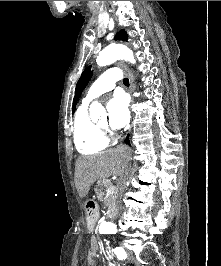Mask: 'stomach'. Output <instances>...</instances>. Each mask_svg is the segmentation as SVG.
<instances>
[{
    "instance_id": "obj_1",
    "label": "stomach",
    "mask_w": 221,
    "mask_h": 266,
    "mask_svg": "<svg viewBox=\"0 0 221 266\" xmlns=\"http://www.w3.org/2000/svg\"><path fill=\"white\" fill-rule=\"evenodd\" d=\"M97 218V213L95 212H87V220L88 221H93Z\"/></svg>"
}]
</instances>
